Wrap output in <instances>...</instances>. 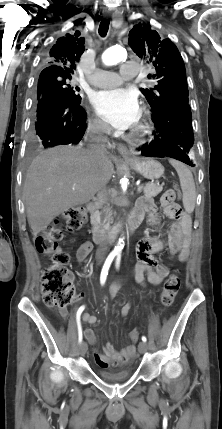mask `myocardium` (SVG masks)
Listing matches in <instances>:
<instances>
[{"label": "myocardium", "instance_id": "myocardium-1", "mask_svg": "<svg viewBox=\"0 0 222 429\" xmlns=\"http://www.w3.org/2000/svg\"><path fill=\"white\" fill-rule=\"evenodd\" d=\"M148 123L145 118L141 119V121L136 125V127L132 131V136L136 139H140L144 137L148 133Z\"/></svg>", "mask_w": 222, "mask_h": 429}]
</instances>
